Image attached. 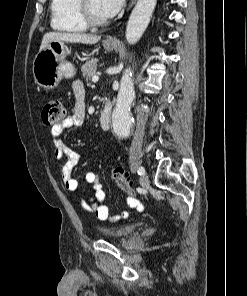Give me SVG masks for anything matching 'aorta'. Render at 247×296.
I'll return each mask as SVG.
<instances>
[{"label":"aorta","mask_w":247,"mask_h":296,"mask_svg":"<svg viewBox=\"0 0 247 296\" xmlns=\"http://www.w3.org/2000/svg\"><path fill=\"white\" fill-rule=\"evenodd\" d=\"M157 0H138L127 23L126 40L135 44L146 30ZM135 98L134 83L130 69H126L120 81L116 106L112 113L113 131L118 136L130 132L132 116L130 106Z\"/></svg>","instance_id":"obj_1"}]
</instances>
